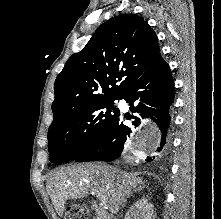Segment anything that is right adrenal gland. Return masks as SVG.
<instances>
[{
	"instance_id": "2a0ac1e0",
	"label": "right adrenal gland",
	"mask_w": 221,
	"mask_h": 219,
	"mask_svg": "<svg viewBox=\"0 0 221 219\" xmlns=\"http://www.w3.org/2000/svg\"><path fill=\"white\" fill-rule=\"evenodd\" d=\"M140 190H142V188L140 187V188H137L134 192H139ZM132 196V195H131Z\"/></svg>"
}]
</instances>
